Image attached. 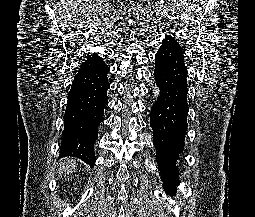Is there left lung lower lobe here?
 <instances>
[{"instance_id":"0a47b994","label":"left lung lower lobe","mask_w":255,"mask_h":217,"mask_svg":"<svg viewBox=\"0 0 255 217\" xmlns=\"http://www.w3.org/2000/svg\"><path fill=\"white\" fill-rule=\"evenodd\" d=\"M154 76L160 96L151 108L150 126L163 188L171 191L178 183L175 163L183 151L187 130L188 70L183 52L161 45L155 55Z\"/></svg>"}]
</instances>
